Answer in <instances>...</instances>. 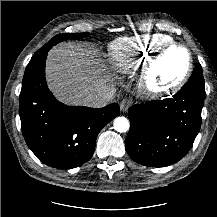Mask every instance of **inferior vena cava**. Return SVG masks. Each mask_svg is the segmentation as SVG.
<instances>
[{
  "label": "inferior vena cava",
  "instance_id": "obj_1",
  "mask_svg": "<svg viewBox=\"0 0 217 217\" xmlns=\"http://www.w3.org/2000/svg\"><path fill=\"white\" fill-rule=\"evenodd\" d=\"M114 96V88H99L84 98V104L93 108H101L111 103Z\"/></svg>",
  "mask_w": 217,
  "mask_h": 217
}]
</instances>
